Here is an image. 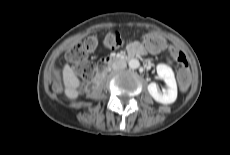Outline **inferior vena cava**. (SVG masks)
Listing matches in <instances>:
<instances>
[{
	"label": "inferior vena cava",
	"mask_w": 230,
	"mask_h": 155,
	"mask_svg": "<svg viewBox=\"0 0 230 155\" xmlns=\"http://www.w3.org/2000/svg\"><path fill=\"white\" fill-rule=\"evenodd\" d=\"M125 67H126V62L124 60H119L116 63H114L112 66L114 70L123 69Z\"/></svg>",
	"instance_id": "1"
}]
</instances>
